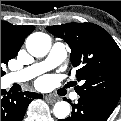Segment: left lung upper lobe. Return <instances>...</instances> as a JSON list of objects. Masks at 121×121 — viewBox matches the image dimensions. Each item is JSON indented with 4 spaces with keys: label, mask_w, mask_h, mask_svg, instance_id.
I'll return each mask as SVG.
<instances>
[{
    "label": "left lung upper lobe",
    "mask_w": 121,
    "mask_h": 121,
    "mask_svg": "<svg viewBox=\"0 0 121 121\" xmlns=\"http://www.w3.org/2000/svg\"><path fill=\"white\" fill-rule=\"evenodd\" d=\"M47 30L72 50L76 78L84 82L75 87L79 96L113 111L121 95V50L109 33L93 23L48 26Z\"/></svg>",
    "instance_id": "obj_1"
}]
</instances>
